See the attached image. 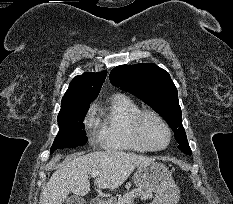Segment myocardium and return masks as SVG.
Wrapping results in <instances>:
<instances>
[{
	"instance_id": "f54148a6",
	"label": "myocardium",
	"mask_w": 233,
	"mask_h": 204,
	"mask_svg": "<svg viewBox=\"0 0 233 204\" xmlns=\"http://www.w3.org/2000/svg\"><path fill=\"white\" fill-rule=\"evenodd\" d=\"M147 117H153L156 120H158L163 127L165 128L167 135H168V139L167 142L164 146L162 147H153L151 145L148 144V142L146 141L144 135H143V131H142V124L143 121L145 120V118ZM131 130H132V134L136 140V142L143 147L146 151H152V152H157V151H162L164 149H166L169 144L171 143V139H172V131L170 126L168 125V123L166 122V120L157 112L153 111V110H141L132 120L131 122Z\"/></svg>"
}]
</instances>
